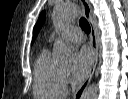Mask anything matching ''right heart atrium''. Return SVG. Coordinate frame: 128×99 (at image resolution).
<instances>
[{"instance_id": "d8ad5b80", "label": "right heart atrium", "mask_w": 128, "mask_h": 99, "mask_svg": "<svg viewBox=\"0 0 128 99\" xmlns=\"http://www.w3.org/2000/svg\"><path fill=\"white\" fill-rule=\"evenodd\" d=\"M64 80H65V83L67 84L69 82V78L67 75H64Z\"/></svg>"}]
</instances>
